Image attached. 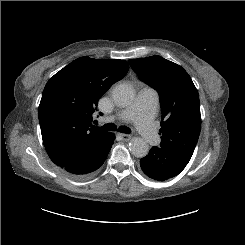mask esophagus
<instances>
[{
	"label": "esophagus",
	"instance_id": "esophagus-1",
	"mask_svg": "<svg viewBox=\"0 0 245 245\" xmlns=\"http://www.w3.org/2000/svg\"><path fill=\"white\" fill-rule=\"evenodd\" d=\"M118 135H119L123 140H129V139L131 138V136L128 135V134L118 133Z\"/></svg>",
	"mask_w": 245,
	"mask_h": 245
}]
</instances>
